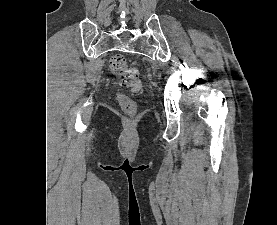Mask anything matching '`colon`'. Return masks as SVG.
Returning a JSON list of instances; mask_svg holds the SVG:
<instances>
[{
  "mask_svg": "<svg viewBox=\"0 0 277 225\" xmlns=\"http://www.w3.org/2000/svg\"><path fill=\"white\" fill-rule=\"evenodd\" d=\"M110 68L122 87L130 88L132 90H138L140 88L138 70L131 67L123 55L118 54L112 56L110 60ZM117 99L124 113L128 115L135 114L137 105L132 98L120 93L118 94Z\"/></svg>",
  "mask_w": 277,
  "mask_h": 225,
  "instance_id": "obj_1",
  "label": "colon"
}]
</instances>
